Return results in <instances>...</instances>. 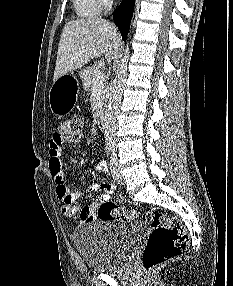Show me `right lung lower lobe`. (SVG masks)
I'll return each instance as SVG.
<instances>
[{"mask_svg": "<svg viewBox=\"0 0 233 286\" xmlns=\"http://www.w3.org/2000/svg\"><path fill=\"white\" fill-rule=\"evenodd\" d=\"M134 0H122L113 14L114 23L120 29L123 40L127 38L130 21L133 14Z\"/></svg>", "mask_w": 233, "mask_h": 286, "instance_id": "obj_1", "label": "right lung lower lobe"}]
</instances>
